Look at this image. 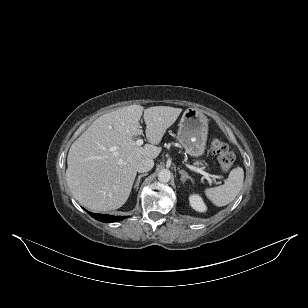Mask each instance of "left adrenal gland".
<instances>
[{"mask_svg": "<svg viewBox=\"0 0 308 308\" xmlns=\"http://www.w3.org/2000/svg\"><path fill=\"white\" fill-rule=\"evenodd\" d=\"M179 173L181 174V181L183 183H185L186 180H190L191 182H193V179L187 174L185 170H179Z\"/></svg>", "mask_w": 308, "mask_h": 308, "instance_id": "1", "label": "left adrenal gland"}]
</instances>
